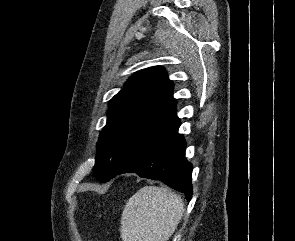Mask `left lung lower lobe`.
I'll return each mask as SVG.
<instances>
[{
    "mask_svg": "<svg viewBox=\"0 0 295 241\" xmlns=\"http://www.w3.org/2000/svg\"><path fill=\"white\" fill-rule=\"evenodd\" d=\"M179 126L153 141L112 178L119 174L133 172L140 177L162 181L184 193L186 199L190 200L192 165L185 158L186 143L183 135L178 133Z\"/></svg>",
    "mask_w": 295,
    "mask_h": 241,
    "instance_id": "1",
    "label": "left lung lower lobe"
}]
</instances>
